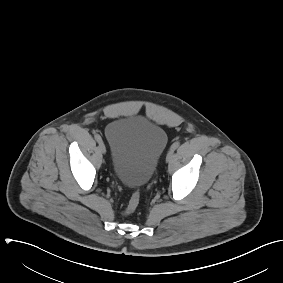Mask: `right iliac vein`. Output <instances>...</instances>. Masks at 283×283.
Here are the masks:
<instances>
[{
    "mask_svg": "<svg viewBox=\"0 0 283 283\" xmlns=\"http://www.w3.org/2000/svg\"><path fill=\"white\" fill-rule=\"evenodd\" d=\"M99 150L102 154L106 153V147L102 141L99 143Z\"/></svg>",
    "mask_w": 283,
    "mask_h": 283,
    "instance_id": "63e3f726",
    "label": "right iliac vein"
}]
</instances>
